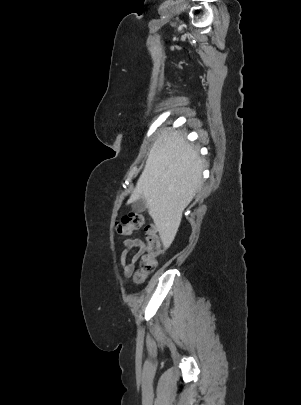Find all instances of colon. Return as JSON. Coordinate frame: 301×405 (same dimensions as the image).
Segmentation results:
<instances>
[{
    "instance_id": "colon-1",
    "label": "colon",
    "mask_w": 301,
    "mask_h": 405,
    "mask_svg": "<svg viewBox=\"0 0 301 405\" xmlns=\"http://www.w3.org/2000/svg\"><path fill=\"white\" fill-rule=\"evenodd\" d=\"M145 223V215L142 212L131 211L116 223V230L120 235H130L139 230ZM163 253L162 243L153 225L145 227V242L141 253L139 269L135 274V280L142 282L146 276L154 271L158 265L159 257Z\"/></svg>"
}]
</instances>
